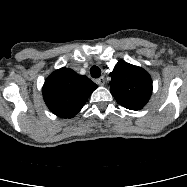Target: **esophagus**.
<instances>
[{
  "label": "esophagus",
  "instance_id": "34e87169",
  "mask_svg": "<svg viewBox=\"0 0 187 187\" xmlns=\"http://www.w3.org/2000/svg\"><path fill=\"white\" fill-rule=\"evenodd\" d=\"M96 83L100 86H103L105 84V79L104 77H100L96 80Z\"/></svg>",
  "mask_w": 187,
  "mask_h": 187
}]
</instances>
